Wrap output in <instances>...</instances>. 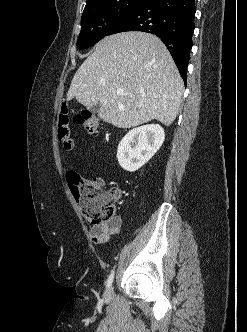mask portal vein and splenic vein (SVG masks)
Listing matches in <instances>:
<instances>
[{
	"mask_svg": "<svg viewBox=\"0 0 247 332\" xmlns=\"http://www.w3.org/2000/svg\"><path fill=\"white\" fill-rule=\"evenodd\" d=\"M118 95H122L123 94V90L122 89H118L116 92Z\"/></svg>",
	"mask_w": 247,
	"mask_h": 332,
	"instance_id": "obj_1",
	"label": "portal vein and splenic vein"
}]
</instances>
